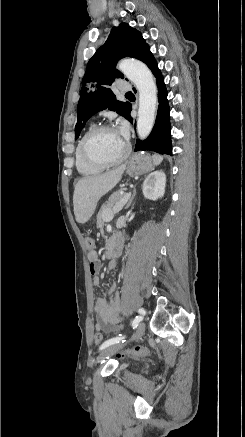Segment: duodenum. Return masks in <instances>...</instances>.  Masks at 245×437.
Returning a JSON list of instances; mask_svg holds the SVG:
<instances>
[{"label":"duodenum","mask_w":245,"mask_h":437,"mask_svg":"<svg viewBox=\"0 0 245 437\" xmlns=\"http://www.w3.org/2000/svg\"><path fill=\"white\" fill-rule=\"evenodd\" d=\"M123 242L122 234H117L115 242L108 246L106 250V258L108 260V268L113 269L116 266V258L120 254L121 245Z\"/></svg>","instance_id":"obj_1"}]
</instances>
